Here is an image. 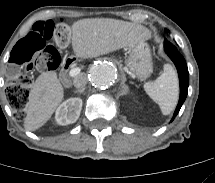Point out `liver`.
Masks as SVG:
<instances>
[{"instance_id": "liver-1", "label": "liver", "mask_w": 215, "mask_h": 183, "mask_svg": "<svg viewBox=\"0 0 215 183\" xmlns=\"http://www.w3.org/2000/svg\"><path fill=\"white\" fill-rule=\"evenodd\" d=\"M71 33L73 51L83 59L131 48L151 38L150 30L142 25L108 18L78 20L73 23ZM63 97V87L54 71L39 75L29 92L24 128L35 131L42 127Z\"/></svg>"}]
</instances>
